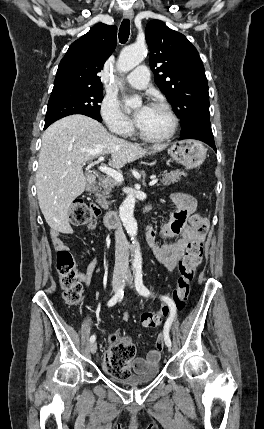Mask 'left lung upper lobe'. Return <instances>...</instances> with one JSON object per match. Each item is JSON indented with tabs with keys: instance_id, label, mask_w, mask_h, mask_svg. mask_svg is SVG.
Instances as JSON below:
<instances>
[{
	"instance_id": "1",
	"label": "left lung upper lobe",
	"mask_w": 264,
	"mask_h": 429,
	"mask_svg": "<svg viewBox=\"0 0 264 429\" xmlns=\"http://www.w3.org/2000/svg\"><path fill=\"white\" fill-rule=\"evenodd\" d=\"M145 37L155 82L181 120V135L209 123L208 83L196 48L160 20L147 24Z\"/></svg>"
}]
</instances>
